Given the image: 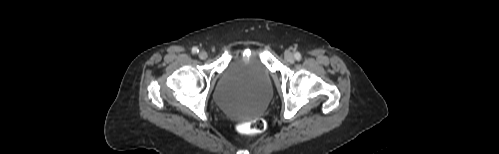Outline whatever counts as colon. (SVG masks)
Wrapping results in <instances>:
<instances>
[{"mask_svg":"<svg viewBox=\"0 0 499 154\" xmlns=\"http://www.w3.org/2000/svg\"><path fill=\"white\" fill-rule=\"evenodd\" d=\"M265 122L261 118L253 119L248 123H243L238 126V130L242 133H259L265 129Z\"/></svg>","mask_w":499,"mask_h":154,"instance_id":"obj_1","label":"colon"}]
</instances>
